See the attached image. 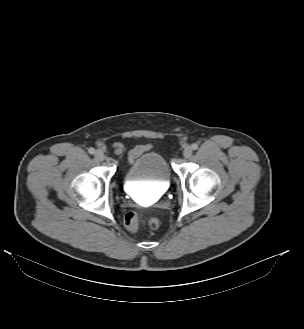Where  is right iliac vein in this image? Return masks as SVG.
<instances>
[{"instance_id": "obj_1", "label": "right iliac vein", "mask_w": 304, "mask_h": 329, "mask_svg": "<svg viewBox=\"0 0 304 329\" xmlns=\"http://www.w3.org/2000/svg\"><path fill=\"white\" fill-rule=\"evenodd\" d=\"M95 158H96L97 160H99V161H103L104 158H105V155H104L103 151H101V150H97V151L95 152Z\"/></svg>"}]
</instances>
